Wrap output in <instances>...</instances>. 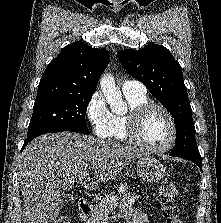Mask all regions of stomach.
<instances>
[{
  "label": "stomach",
  "instance_id": "obj_1",
  "mask_svg": "<svg viewBox=\"0 0 221 223\" xmlns=\"http://www.w3.org/2000/svg\"><path fill=\"white\" fill-rule=\"evenodd\" d=\"M138 176L146 182H158L166 175V168L160 160L152 156H144L136 163Z\"/></svg>",
  "mask_w": 221,
  "mask_h": 223
}]
</instances>
